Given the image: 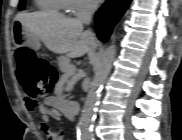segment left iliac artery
Returning <instances> with one entry per match:
<instances>
[{"label":"left iliac artery","mask_w":182,"mask_h":140,"mask_svg":"<svg viewBox=\"0 0 182 140\" xmlns=\"http://www.w3.org/2000/svg\"><path fill=\"white\" fill-rule=\"evenodd\" d=\"M90 140H95L94 137H91Z\"/></svg>","instance_id":"44dca946"}]
</instances>
